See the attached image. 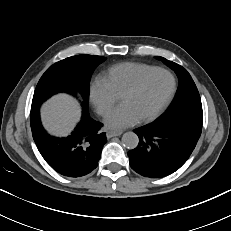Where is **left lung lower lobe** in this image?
Masks as SVG:
<instances>
[{
    "label": "left lung lower lobe",
    "mask_w": 231,
    "mask_h": 231,
    "mask_svg": "<svg viewBox=\"0 0 231 231\" xmlns=\"http://www.w3.org/2000/svg\"><path fill=\"white\" fill-rule=\"evenodd\" d=\"M201 130V122L188 120L154 122L135 130L139 144L128 152L131 168L150 178L172 174L191 155Z\"/></svg>",
    "instance_id": "left-lung-lower-lobe-1"
}]
</instances>
